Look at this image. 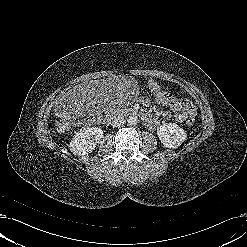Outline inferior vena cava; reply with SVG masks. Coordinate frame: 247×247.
<instances>
[{
	"mask_svg": "<svg viewBox=\"0 0 247 247\" xmlns=\"http://www.w3.org/2000/svg\"><path fill=\"white\" fill-rule=\"evenodd\" d=\"M126 121H125V119H124V117H122V116H112L111 118H110V125L112 126V127H120V126H122L124 123H125Z\"/></svg>",
	"mask_w": 247,
	"mask_h": 247,
	"instance_id": "602c4592",
	"label": "inferior vena cava"
}]
</instances>
